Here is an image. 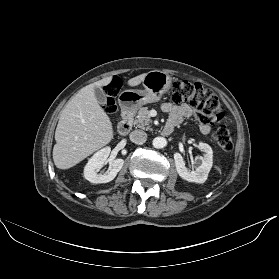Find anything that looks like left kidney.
<instances>
[{
	"label": "left kidney",
	"mask_w": 279,
	"mask_h": 279,
	"mask_svg": "<svg viewBox=\"0 0 279 279\" xmlns=\"http://www.w3.org/2000/svg\"><path fill=\"white\" fill-rule=\"evenodd\" d=\"M198 148L204 152L203 157H199L200 161L195 170H190L185 166L184 158L180 153L174 154L176 170L181 178L188 182L204 183L207 180L208 173L210 172L213 164V151L212 148L203 142H200Z\"/></svg>",
	"instance_id": "left-kidney-1"
}]
</instances>
